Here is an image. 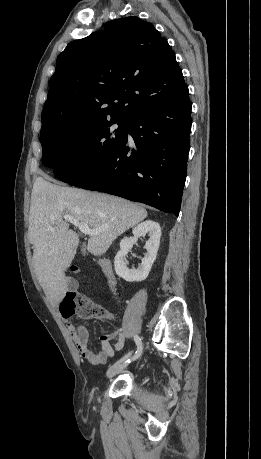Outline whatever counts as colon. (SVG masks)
Returning <instances> with one entry per match:
<instances>
[{
  "label": "colon",
  "mask_w": 261,
  "mask_h": 459,
  "mask_svg": "<svg viewBox=\"0 0 261 459\" xmlns=\"http://www.w3.org/2000/svg\"><path fill=\"white\" fill-rule=\"evenodd\" d=\"M73 272L80 270L79 266H71ZM60 311L63 317L69 318L77 315L81 318L111 319V315L102 306L97 304L91 297L82 293H70L62 301Z\"/></svg>",
  "instance_id": "5ec220e1"
}]
</instances>
